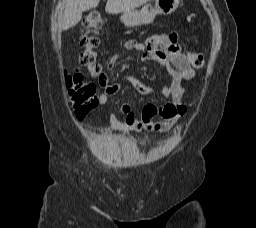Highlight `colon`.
Instances as JSON below:
<instances>
[{"label": "colon", "instance_id": "obj_1", "mask_svg": "<svg viewBox=\"0 0 256 228\" xmlns=\"http://www.w3.org/2000/svg\"><path fill=\"white\" fill-rule=\"evenodd\" d=\"M103 24V17L98 11H90L82 21L80 43L84 47V51L80 54L79 62L94 76L101 74V66L96 61L95 48L99 44L98 32L102 29ZM187 55L193 68L203 67L204 57L202 54L189 52ZM65 84L75 115L82 119L99 102L96 87L93 83L85 82L78 70L66 74Z\"/></svg>", "mask_w": 256, "mask_h": 228}]
</instances>
